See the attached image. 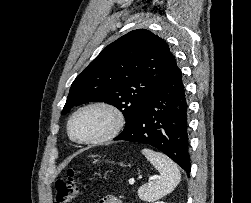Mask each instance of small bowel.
Instances as JSON below:
<instances>
[{"mask_svg": "<svg viewBox=\"0 0 251 203\" xmlns=\"http://www.w3.org/2000/svg\"><path fill=\"white\" fill-rule=\"evenodd\" d=\"M97 203H122V202L119 199H117L116 197L107 196V197L101 199Z\"/></svg>", "mask_w": 251, "mask_h": 203, "instance_id": "obj_1", "label": "small bowel"}]
</instances>
